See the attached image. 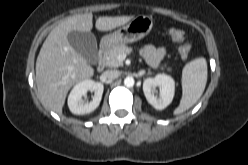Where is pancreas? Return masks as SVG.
Returning <instances> with one entry per match:
<instances>
[{
    "label": "pancreas",
    "instance_id": "1",
    "mask_svg": "<svg viewBox=\"0 0 248 165\" xmlns=\"http://www.w3.org/2000/svg\"><path fill=\"white\" fill-rule=\"evenodd\" d=\"M130 52L131 48H129L125 44L117 45L113 49H111L110 52L107 54L105 58V63L108 67L112 68L123 66V59H120V56H125ZM164 67H162V69H164ZM167 70L171 71V68H168Z\"/></svg>",
    "mask_w": 248,
    "mask_h": 165
}]
</instances>
